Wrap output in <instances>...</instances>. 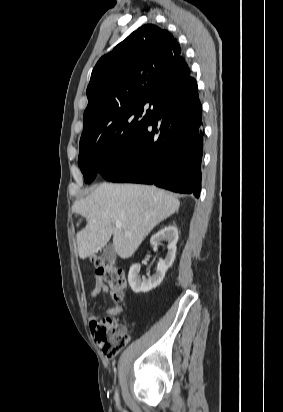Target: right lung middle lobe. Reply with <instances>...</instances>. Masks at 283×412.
<instances>
[{
  "label": "right lung middle lobe",
  "mask_w": 283,
  "mask_h": 412,
  "mask_svg": "<svg viewBox=\"0 0 283 412\" xmlns=\"http://www.w3.org/2000/svg\"><path fill=\"white\" fill-rule=\"evenodd\" d=\"M159 103L134 105L117 115L101 132L82 137L78 164L86 183L122 157L137 141Z\"/></svg>",
  "instance_id": "dd1d6c3e"
}]
</instances>
